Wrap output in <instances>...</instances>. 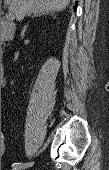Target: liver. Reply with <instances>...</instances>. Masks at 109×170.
I'll list each match as a JSON object with an SVG mask.
<instances>
[{
  "mask_svg": "<svg viewBox=\"0 0 109 170\" xmlns=\"http://www.w3.org/2000/svg\"><path fill=\"white\" fill-rule=\"evenodd\" d=\"M9 11L14 17L21 21L25 15L40 12L62 11L70 0H7Z\"/></svg>",
  "mask_w": 109,
  "mask_h": 170,
  "instance_id": "obj_1",
  "label": "liver"
}]
</instances>
